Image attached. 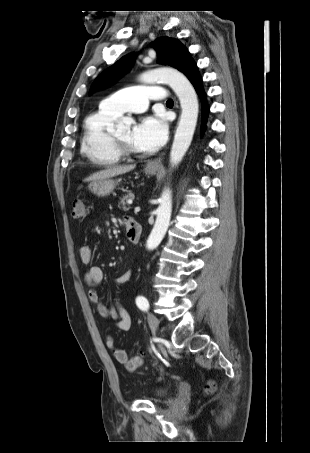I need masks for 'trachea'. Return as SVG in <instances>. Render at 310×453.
<instances>
[{"label":"trachea","mask_w":310,"mask_h":453,"mask_svg":"<svg viewBox=\"0 0 310 453\" xmlns=\"http://www.w3.org/2000/svg\"><path fill=\"white\" fill-rule=\"evenodd\" d=\"M166 105H173V100H172V99H169V100L166 102Z\"/></svg>","instance_id":"obj_1"}]
</instances>
